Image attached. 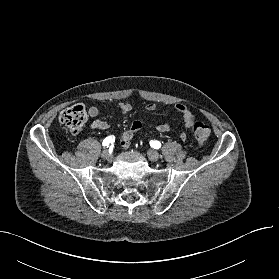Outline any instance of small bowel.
<instances>
[{"instance_id": "obj_1", "label": "small bowel", "mask_w": 279, "mask_h": 279, "mask_svg": "<svg viewBox=\"0 0 279 279\" xmlns=\"http://www.w3.org/2000/svg\"><path fill=\"white\" fill-rule=\"evenodd\" d=\"M145 108L147 111L153 112L158 109V106L154 103H150L147 104ZM173 108L181 116L183 120V128L179 133V138L182 141H185L188 138V131L192 128L194 124L195 115L193 111L183 103H177L174 105ZM118 109L122 114H128L132 111V105L127 102H119ZM88 114L90 117L95 118L99 114V109L95 106H92L89 108ZM144 125L145 122L143 120H136L132 123L130 128L122 134L121 147L123 149L128 148L133 137L142 129ZM89 127L95 130L106 131L109 129V124L105 121L95 119L90 122ZM154 128L160 133H167L171 130V125L170 123L165 122L155 125Z\"/></svg>"}]
</instances>
